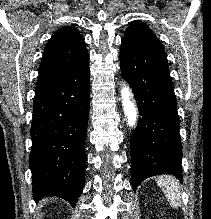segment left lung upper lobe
<instances>
[{
  "label": "left lung upper lobe",
  "instance_id": "1",
  "mask_svg": "<svg viewBox=\"0 0 211 219\" xmlns=\"http://www.w3.org/2000/svg\"><path fill=\"white\" fill-rule=\"evenodd\" d=\"M123 39L136 44L163 47L156 35L146 25L139 21H133L130 23Z\"/></svg>",
  "mask_w": 211,
  "mask_h": 219
}]
</instances>
